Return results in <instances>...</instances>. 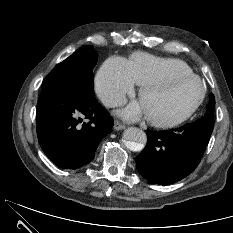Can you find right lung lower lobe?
Wrapping results in <instances>:
<instances>
[{"instance_id":"right-lung-lower-lobe-1","label":"right lung lower lobe","mask_w":233,"mask_h":233,"mask_svg":"<svg viewBox=\"0 0 233 233\" xmlns=\"http://www.w3.org/2000/svg\"><path fill=\"white\" fill-rule=\"evenodd\" d=\"M37 135L45 154L59 167L75 169L94 158L113 120L94 95L44 87L37 103Z\"/></svg>"}]
</instances>
